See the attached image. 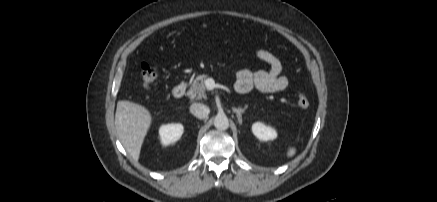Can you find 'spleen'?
Masks as SVG:
<instances>
[{"label": "spleen", "mask_w": 437, "mask_h": 202, "mask_svg": "<svg viewBox=\"0 0 437 202\" xmlns=\"http://www.w3.org/2000/svg\"><path fill=\"white\" fill-rule=\"evenodd\" d=\"M295 154H296V148L292 147V146L288 147L287 153H286L287 157L288 158L293 157Z\"/></svg>", "instance_id": "1"}]
</instances>
